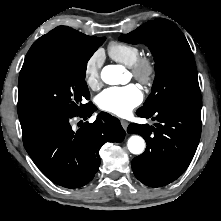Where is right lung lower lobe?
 <instances>
[{"label":"right lung lower lobe","mask_w":221,"mask_h":221,"mask_svg":"<svg viewBox=\"0 0 221 221\" xmlns=\"http://www.w3.org/2000/svg\"><path fill=\"white\" fill-rule=\"evenodd\" d=\"M95 110L89 103L79 113H55L21 122L26 151L52 182L66 188L86 185L99 169L101 147L124 139L120 121L106 112L99 113L95 122H82L73 130L72 118L86 120Z\"/></svg>","instance_id":"right-lung-lower-lobe-1"}]
</instances>
